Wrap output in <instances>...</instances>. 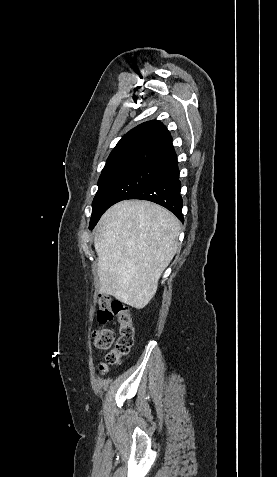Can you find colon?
Returning <instances> with one entry per match:
<instances>
[{"mask_svg": "<svg viewBox=\"0 0 277 477\" xmlns=\"http://www.w3.org/2000/svg\"><path fill=\"white\" fill-rule=\"evenodd\" d=\"M99 311L97 321L104 325L112 320L119 323V337L110 328H99L93 331V343L98 349L109 350L106 361L100 366L106 371L109 366L119 364L128 355L134 338V328L129 307L123 302L102 295L98 300Z\"/></svg>", "mask_w": 277, "mask_h": 477, "instance_id": "5ec220e1", "label": "colon"}]
</instances>
